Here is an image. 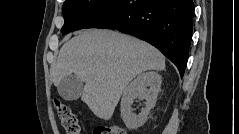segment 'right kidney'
Here are the masks:
<instances>
[{"mask_svg": "<svg viewBox=\"0 0 239 134\" xmlns=\"http://www.w3.org/2000/svg\"><path fill=\"white\" fill-rule=\"evenodd\" d=\"M161 84V76L157 72L149 71L139 74L127 86L121 99V117L128 128L136 129L146 122L151 108L156 104ZM136 98L146 100L145 108H142L138 115L134 114L131 108Z\"/></svg>", "mask_w": 239, "mask_h": 134, "instance_id": "right-kidney-1", "label": "right kidney"}]
</instances>
